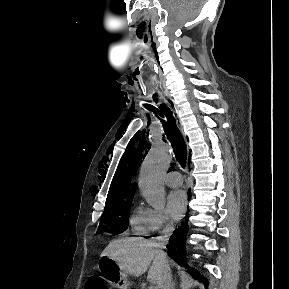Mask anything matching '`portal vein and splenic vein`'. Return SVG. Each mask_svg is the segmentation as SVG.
Listing matches in <instances>:
<instances>
[{
    "mask_svg": "<svg viewBox=\"0 0 289 289\" xmlns=\"http://www.w3.org/2000/svg\"><path fill=\"white\" fill-rule=\"evenodd\" d=\"M148 289H156V287L151 286V287H149Z\"/></svg>",
    "mask_w": 289,
    "mask_h": 289,
    "instance_id": "18ae733b",
    "label": "portal vein and splenic vein"
}]
</instances>
